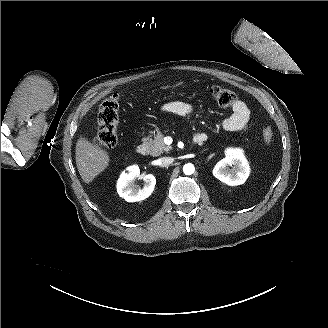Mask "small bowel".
<instances>
[{"instance_id":"obj_1","label":"small bowel","mask_w":328,"mask_h":328,"mask_svg":"<svg viewBox=\"0 0 328 328\" xmlns=\"http://www.w3.org/2000/svg\"><path fill=\"white\" fill-rule=\"evenodd\" d=\"M193 110L192 105L182 101H172L162 106L163 112L179 116H188ZM250 119V109L245 102L238 100L232 106V114L222 121V127L227 131L242 133L247 130Z\"/></svg>"}]
</instances>
